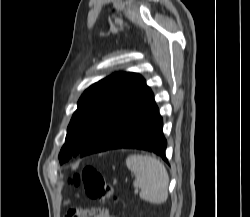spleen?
Returning a JSON list of instances; mask_svg holds the SVG:
<instances>
[{
    "label": "spleen",
    "mask_w": 250,
    "mask_h": 217,
    "mask_svg": "<svg viewBox=\"0 0 250 217\" xmlns=\"http://www.w3.org/2000/svg\"><path fill=\"white\" fill-rule=\"evenodd\" d=\"M126 165L135 176L134 187L141 191V199L152 204H162L168 198L169 176L165 166L148 155H131Z\"/></svg>",
    "instance_id": "3e777b00"
}]
</instances>
